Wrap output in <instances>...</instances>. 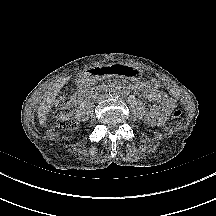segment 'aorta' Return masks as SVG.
<instances>
[{"label":"aorta","mask_w":216,"mask_h":216,"mask_svg":"<svg viewBox=\"0 0 216 216\" xmlns=\"http://www.w3.org/2000/svg\"><path fill=\"white\" fill-rule=\"evenodd\" d=\"M120 95V90L117 87H113L110 90V96L112 97H118Z\"/></svg>","instance_id":"762f6f07"}]
</instances>
